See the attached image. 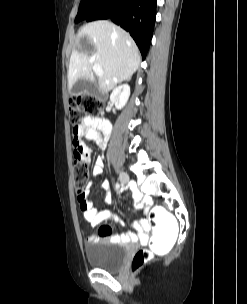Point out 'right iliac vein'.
I'll return each instance as SVG.
<instances>
[{
    "mask_svg": "<svg viewBox=\"0 0 247 304\" xmlns=\"http://www.w3.org/2000/svg\"><path fill=\"white\" fill-rule=\"evenodd\" d=\"M119 179L122 185H126L129 182V176L125 172H120Z\"/></svg>",
    "mask_w": 247,
    "mask_h": 304,
    "instance_id": "obj_1",
    "label": "right iliac vein"
}]
</instances>
